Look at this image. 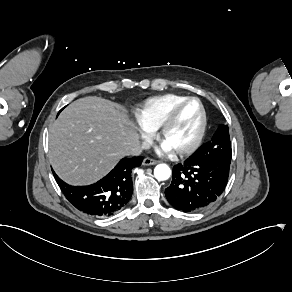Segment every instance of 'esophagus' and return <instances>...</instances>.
<instances>
[{"instance_id":"1","label":"esophagus","mask_w":292,"mask_h":292,"mask_svg":"<svg viewBox=\"0 0 292 292\" xmlns=\"http://www.w3.org/2000/svg\"><path fill=\"white\" fill-rule=\"evenodd\" d=\"M157 163H159L158 160H153V159H151V158H145V159L143 160V162H142V164L145 165V166L155 165V164H157Z\"/></svg>"}]
</instances>
